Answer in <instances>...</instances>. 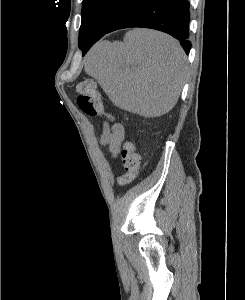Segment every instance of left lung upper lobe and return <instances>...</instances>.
<instances>
[{
    "instance_id": "1",
    "label": "left lung upper lobe",
    "mask_w": 245,
    "mask_h": 300,
    "mask_svg": "<svg viewBox=\"0 0 245 300\" xmlns=\"http://www.w3.org/2000/svg\"><path fill=\"white\" fill-rule=\"evenodd\" d=\"M136 0H83L79 48L87 46L88 37L103 34L114 20Z\"/></svg>"
}]
</instances>
